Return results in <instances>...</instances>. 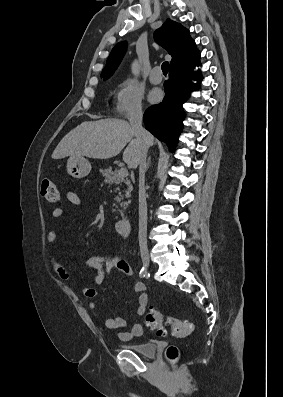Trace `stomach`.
<instances>
[{"label": "stomach", "instance_id": "stomach-1", "mask_svg": "<svg viewBox=\"0 0 283 397\" xmlns=\"http://www.w3.org/2000/svg\"><path fill=\"white\" fill-rule=\"evenodd\" d=\"M67 173L74 178H83L90 173L91 165L83 157L71 156L67 161Z\"/></svg>", "mask_w": 283, "mask_h": 397}]
</instances>
